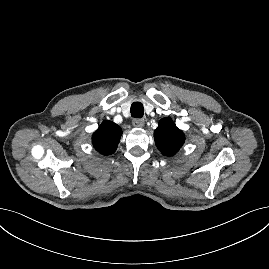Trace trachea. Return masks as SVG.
<instances>
[{
  "instance_id": "1",
  "label": "trachea",
  "mask_w": 269,
  "mask_h": 269,
  "mask_svg": "<svg viewBox=\"0 0 269 269\" xmlns=\"http://www.w3.org/2000/svg\"><path fill=\"white\" fill-rule=\"evenodd\" d=\"M131 116L134 118H142L144 114V107L141 102H134L131 105Z\"/></svg>"
}]
</instances>
